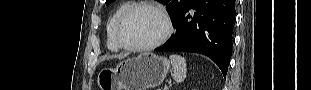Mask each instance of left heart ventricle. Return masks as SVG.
Returning <instances> with one entry per match:
<instances>
[{
	"mask_svg": "<svg viewBox=\"0 0 311 90\" xmlns=\"http://www.w3.org/2000/svg\"><path fill=\"white\" fill-rule=\"evenodd\" d=\"M164 31L162 18L150 9H138L123 22L120 35L129 45L141 46L156 41Z\"/></svg>",
	"mask_w": 311,
	"mask_h": 90,
	"instance_id": "left-heart-ventricle-1",
	"label": "left heart ventricle"
}]
</instances>
